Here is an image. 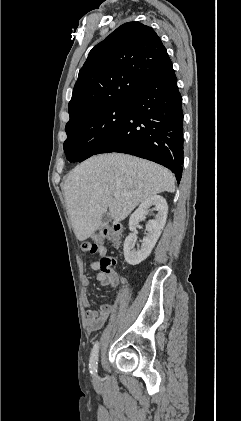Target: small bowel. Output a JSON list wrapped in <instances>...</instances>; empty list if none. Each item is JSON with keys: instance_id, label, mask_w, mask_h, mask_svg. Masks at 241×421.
Here are the masks:
<instances>
[{"instance_id": "1", "label": "small bowel", "mask_w": 241, "mask_h": 421, "mask_svg": "<svg viewBox=\"0 0 241 421\" xmlns=\"http://www.w3.org/2000/svg\"><path fill=\"white\" fill-rule=\"evenodd\" d=\"M101 258L107 256V250L104 246L99 245L97 252ZM90 268L92 270H99L100 269V262L98 260H92L90 263ZM114 278L106 277L102 272L97 275L98 281L103 285H109L111 287H115L119 283L118 276L115 272ZM91 281L89 277H84L82 280V288H81V301L88 308L86 311V321L89 329L91 331L99 330L104 323L106 322L107 318L110 316L114 309V304H102L99 309H91L90 302L88 298V287L90 286Z\"/></svg>"}]
</instances>
